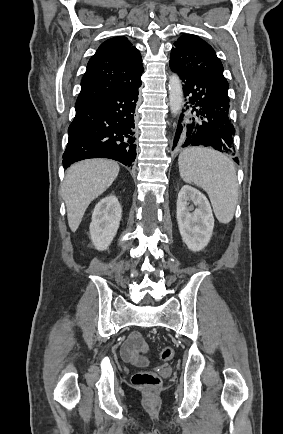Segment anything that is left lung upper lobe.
Wrapping results in <instances>:
<instances>
[{"mask_svg": "<svg viewBox=\"0 0 283 434\" xmlns=\"http://www.w3.org/2000/svg\"><path fill=\"white\" fill-rule=\"evenodd\" d=\"M170 62L217 85L229 88L223 75V65L214 49L195 35L183 34L174 42Z\"/></svg>", "mask_w": 283, "mask_h": 434, "instance_id": "5c2ea615", "label": "left lung upper lobe"}]
</instances>
